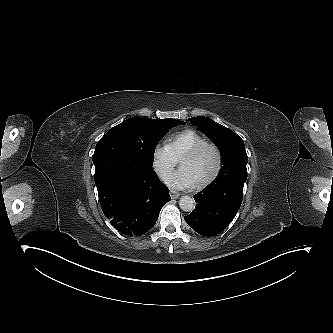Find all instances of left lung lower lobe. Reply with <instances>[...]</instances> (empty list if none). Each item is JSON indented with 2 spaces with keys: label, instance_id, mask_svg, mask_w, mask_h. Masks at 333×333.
I'll return each instance as SVG.
<instances>
[{
  "label": "left lung lower lobe",
  "instance_id": "1",
  "mask_svg": "<svg viewBox=\"0 0 333 333\" xmlns=\"http://www.w3.org/2000/svg\"><path fill=\"white\" fill-rule=\"evenodd\" d=\"M244 183L223 184L214 180L194 196L197 205L187 216V224L198 234L214 236L222 232L234 219L243 197Z\"/></svg>",
  "mask_w": 333,
  "mask_h": 333
}]
</instances>
